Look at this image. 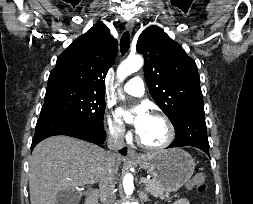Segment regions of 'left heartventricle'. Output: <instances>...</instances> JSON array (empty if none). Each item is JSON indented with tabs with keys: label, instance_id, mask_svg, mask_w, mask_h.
<instances>
[{
	"label": "left heart ventricle",
	"instance_id": "b2bd125f",
	"mask_svg": "<svg viewBox=\"0 0 253 204\" xmlns=\"http://www.w3.org/2000/svg\"><path fill=\"white\" fill-rule=\"evenodd\" d=\"M138 135L147 144L159 145L166 140L168 130L161 119L150 116Z\"/></svg>",
	"mask_w": 253,
	"mask_h": 204
}]
</instances>
